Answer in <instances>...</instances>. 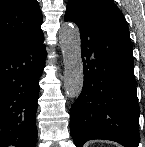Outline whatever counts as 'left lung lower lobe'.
<instances>
[{
	"label": "left lung lower lobe",
	"mask_w": 145,
	"mask_h": 147,
	"mask_svg": "<svg viewBox=\"0 0 145 147\" xmlns=\"http://www.w3.org/2000/svg\"><path fill=\"white\" fill-rule=\"evenodd\" d=\"M64 20L75 22L81 34L84 84L70 110L76 147L93 139L138 147L140 110L124 16L75 6L66 10Z\"/></svg>",
	"instance_id": "obj_1"
}]
</instances>
